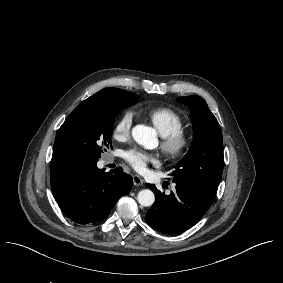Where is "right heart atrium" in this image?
<instances>
[{
	"instance_id": "obj_1",
	"label": "right heart atrium",
	"mask_w": 283,
	"mask_h": 283,
	"mask_svg": "<svg viewBox=\"0 0 283 283\" xmlns=\"http://www.w3.org/2000/svg\"><path fill=\"white\" fill-rule=\"evenodd\" d=\"M133 118L129 113L117 119L112 128V137L117 141H124L129 138L131 133Z\"/></svg>"
}]
</instances>
